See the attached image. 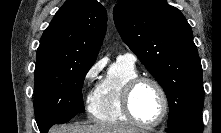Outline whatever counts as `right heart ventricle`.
<instances>
[{"mask_svg":"<svg viewBox=\"0 0 221 133\" xmlns=\"http://www.w3.org/2000/svg\"><path fill=\"white\" fill-rule=\"evenodd\" d=\"M136 76L135 65L116 60L93 92L89 107L92 117L105 124H128L130 121L122 109V91L125 84Z\"/></svg>","mask_w":221,"mask_h":133,"instance_id":"e07e8e85","label":"right heart ventricle"}]
</instances>
